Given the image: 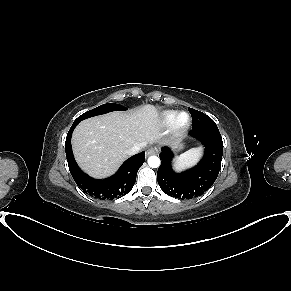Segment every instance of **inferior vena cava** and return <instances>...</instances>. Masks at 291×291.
<instances>
[{
    "instance_id": "obj_1",
    "label": "inferior vena cava",
    "mask_w": 291,
    "mask_h": 291,
    "mask_svg": "<svg viewBox=\"0 0 291 291\" xmlns=\"http://www.w3.org/2000/svg\"><path fill=\"white\" fill-rule=\"evenodd\" d=\"M144 147L143 144H136L131 149L128 150L129 155H134L138 153Z\"/></svg>"
}]
</instances>
